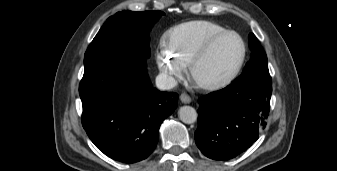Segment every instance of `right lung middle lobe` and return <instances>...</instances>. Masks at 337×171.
<instances>
[{"mask_svg":"<svg viewBox=\"0 0 337 171\" xmlns=\"http://www.w3.org/2000/svg\"><path fill=\"white\" fill-rule=\"evenodd\" d=\"M162 15L161 11L124 10L109 17L89 45L84 64L102 54L117 51L148 58L149 32Z\"/></svg>","mask_w":337,"mask_h":171,"instance_id":"right-lung-middle-lobe-1","label":"right lung middle lobe"}]
</instances>
